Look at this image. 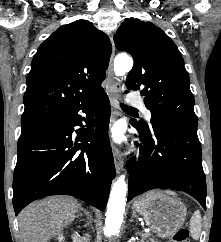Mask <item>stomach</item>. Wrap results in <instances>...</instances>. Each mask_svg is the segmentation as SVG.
<instances>
[{
    "instance_id": "0dacf381",
    "label": "stomach",
    "mask_w": 221,
    "mask_h": 242,
    "mask_svg": "<svg viewBox=\"0 0 221 242\" xmlns=\"http://www.w3.org/2000/svg\"><path fill=\"white\" fill-rule=\"evenodd\" d=\"M134 212L141 215L153 233L167 238L178 231L185 222V205L159 190L150 191L133 203Z\"/></svg>"
}]
</instances>
